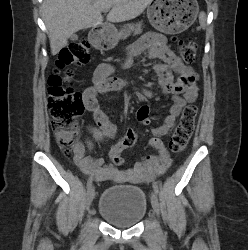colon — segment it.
<instances>
[{"mask_svg":"<svg viewBox=\"0 0 248 250\" xmlns=\"http://www.w3.org/2000/svg\"><path fill=\"white\" fill-rule=\"evenodd\" d=\"M177 45L185 62H195L197 46L193 41L180 40ZM90 59V44L86 39L71 43L60 52L56 67L48 78V106L52 117V127L62 153L66 157H71L74 153L78 136L76 121L83 115L86 107L81 94L74 91L69 83V73L64 71L70 65H83ZM196 117L197 107L194 104L187 105L170 141V148L173 152L179 153L187 146L194 131ZM132 145L133 143L126 136L115 144L111 149L113 164L122 165L123 159L120 153Z\"/></svg>","mask_w":248,"mask_h":250,"instance_id":"5ec220e1","label":"colon"}]
</instances>
